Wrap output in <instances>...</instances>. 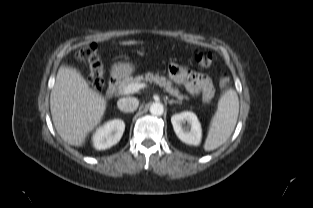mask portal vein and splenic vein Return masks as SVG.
I'll list each match as a JSON object with an SVG mask.
<instances>
[{"mask_svg":"<svg viewBox=\"0 0 313 208\" xmlns=\"http://www.w3.org/2000/svg\"><path fill=\"white\" fill-rule=\"evenodd\" d=\"M146 87L145 83H134V84H129L125 89L124 93L125 94H131L139 91L140 89Z\"/></svg>","mask_w":313,"mask_h":208,"instance_id":"portal-vein-and-splenic-vein-1","label":"portal vein and splenic vein"}]
</instances>
